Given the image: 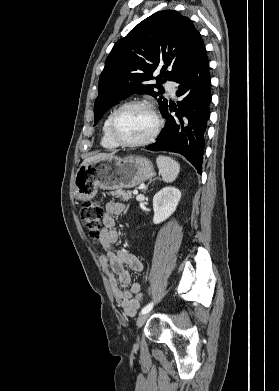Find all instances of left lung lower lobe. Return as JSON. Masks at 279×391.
Returning <instances> with one entry per match:
<instances>
[{
    "label": "left lung lower lobe",
    "mask_w": 279,
    "mask_h": 391,
    "mask_svg": "<svg viewBox=\"0 0 279 391\" xmlns=\"http://www.w3.org/2000/svg\"><path fill=\"white\" fill-rule=\"evenodd\" d=\"M177 96L182 100L168 104L162 115L166 119L157 141L147 146L153 151H170L185 156L198 173L202 170L205 131L210 117L211 77L205 46L195 61L177 81ZM173 109L175 116L170 114Z\"/></svg>",
    "instance_id": "left-lung-lower-lobe-1"
}]
</instances>
